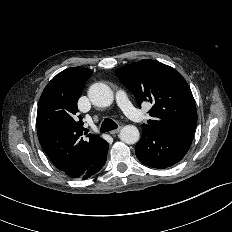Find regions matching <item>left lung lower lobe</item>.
Returning <instances> with one entry per match:
<instances>
[{
  "instance_id": "1",
  "label": "left lung lower lobe",
  "mask_w": 232,
  "mask_h": 232,
  "mask_svg": "<svg viewBox=\"0 0 232 232\" xmlns=\"http://www.w3.org/2000/svg\"><path fill=\"white\" fill-rule=\"evenodd\" d=\"M193 134L190 131L142 127V136L135 148L136 156L141 163L153 168L171 167L189 150Z\"/></svg>"
}]
</instances>
